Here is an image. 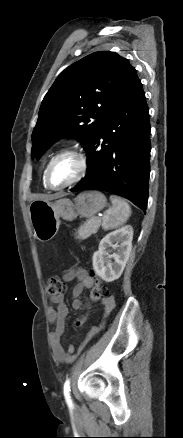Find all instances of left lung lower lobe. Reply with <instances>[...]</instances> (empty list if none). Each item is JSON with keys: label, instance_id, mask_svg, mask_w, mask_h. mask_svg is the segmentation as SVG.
I'll return each instance as SVG.
<instances>
[{"label": "left lung lower lobe", "instance_id": "left-lung-lower-lobe-1", "mask_svg": "<svg viewBox=\"0 0 183 438\" xmlns=\"http://www.w3.org/2000/svg\"><path fill=\"white\" fill-rule=\"evenodd\" d=\"M150 150L149 110L137 78L97 128L86 148L87 174L71 191H108L146 211Z\"/></svg>", "mask_w": 183, "mask_h": 438}]
</instances>
